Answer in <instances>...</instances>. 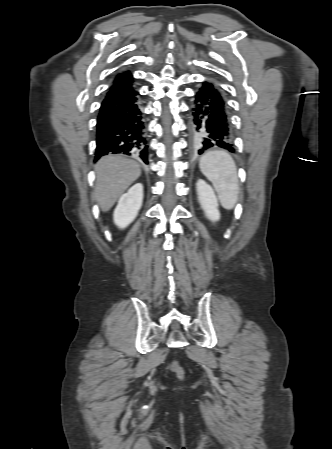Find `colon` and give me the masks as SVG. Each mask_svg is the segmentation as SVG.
<instances>
[{
  "label": "colon",
  "instance_id": "obj_1",
  "mask_svg": "<svg viewBox=\"0 0 332 449\" xmlns=\"http://www.w3.org/2000/svg\"><path fill=\"white\" fill-rule=\"evenodd\" d=\"M171 369L174 373H176L179 376H181L183 374V369L177 362H173L171 364Z\"/></svg>",
  "mask_w": 332,
  "mask_h": 449
}]
</instances>
